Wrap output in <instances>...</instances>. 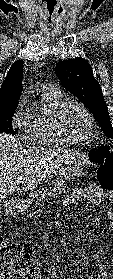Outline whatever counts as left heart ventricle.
Returning <instances> with one entry per match:
<instances>
[{"instance_id":"left-heart-ventricle-1","label":"left heart ventricle","mask_w":113,"mask_h":279,"mask_svg":"<svg viewBox=\"0 0 113 279\" xmlns=\"http://www.w3.org/2000/svg\"><path fill=\"white\" fill-rule=\"evenodd\" d=\"M60 125L67 136L82 137L88 132L89 124L83 111L75 104L68 105L60 118Z\"/></svg>"}]
</instances>
